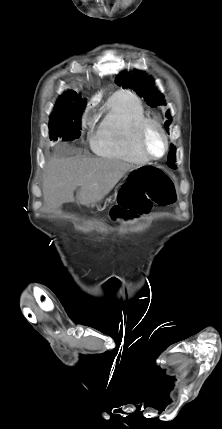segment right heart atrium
<instances>
[{
    "label": "right heart atrium",
    "instance_id": "obj_1",
    "mask_svg": "<svg viewBox=\"0 0 222 429\" xmlns=\"http://www.w3.org/2000/svg\"><path fill=\"white\" fill-rule=\"evenodd\" d=\"M82 121L84 126L92 124V118L89 116L88 110L84 113Z\"/></svg>",
    "mask_w": 222,
    "mask_h": 429
}]
</instances>
